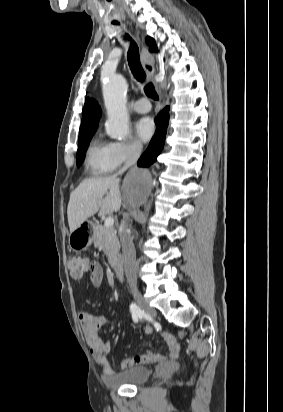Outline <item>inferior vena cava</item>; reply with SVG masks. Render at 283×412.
<instances>
[{
	"label": "inferior vena cava",
	"mask_w": 283,
	"mask_h": 412,
	"mask_svg": "<svg viewBox=\"0 0 283 412\" xmlns=\"http://www.w3.org/2000/svg\"><path fill=\"white\" fill-rule=\"evenodd\" d=\"M142 148L138 145L134 146L124 164V166L114 175L117 177L124 173L129 167L133 166L138 158L140 157ZM119 237L122 245L123 260H124V270L127 278V282L130 286L136 287L137 278H136V254L134 244L130 235V230L128 224L125 220L121 221L119 229Z\"/></svg>",
	"instance_id": "inferior-vena-cava-1"
}]
</instances>
